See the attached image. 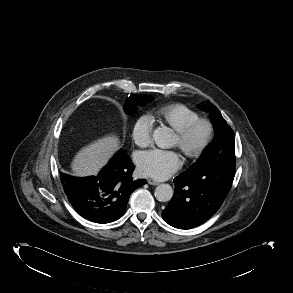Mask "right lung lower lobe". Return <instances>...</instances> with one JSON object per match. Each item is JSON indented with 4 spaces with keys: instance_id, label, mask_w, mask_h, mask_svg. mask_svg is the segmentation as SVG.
Returning <instances> with one entry per match:
<instances>
[{
    "instance_id": "right-lung-lower-lobe-1",
    "label": "right lung lower lobe",
    "mask_w": 293,
    "mask_h": 293,
    "mask_svg": "<svg viewBox=\"0 0 293 293\" xmlns=\"http://www.w3.org/2000/svg\"><path fill=\"white\" fill-rule=\"evenodd\" d=\"M133 170L128 154L121 149L97 176L76 178L61 173L60 177L78 214L92 222L110 223L124 215L130 194L146 183L133 180Z\"/></svg>"
}]
</instances>
